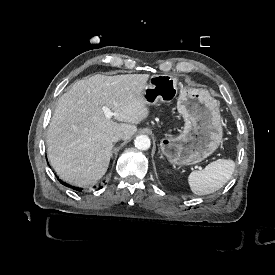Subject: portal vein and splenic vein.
<instances>
[{"label":"portal vein and splenic vein","mask_w":275,"mask_h":275,"mask_svg":"<svg viewBox=\"0 0 275 275\" xmlns=\"http://www.w3.org/2000/svg\"><path fill=\"white\" fill-rule=\"evenodd\" d=\"M102 110L104 112L105 117L108 119H111L113 116H117V113L112 112L107 106H103ZM195 169H197L200 172H205V169L200 168L198 165H194V168H192V172H195Z\"/></svg>","instance_id":"obj_1"}]
</instances>
